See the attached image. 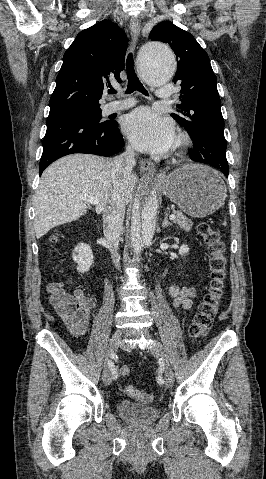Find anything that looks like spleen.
Instances as JSON below:
<instances>
[{
	"mask_svg": "<svg viewBox=\"0 0 266 479\" xmlns=\"http://www.w3.org/2000/svg\"><path fill=\"white\" fill-rule=\"evenodd\" d=\"M223 225H224V226H226V225H227V223H226V220L223 222Z\"/></svg>",
	"mask_w": 266,
	"mask_h": 479,
	"instance_id": "1",
	"label": "spleen"
}]
</instances>
